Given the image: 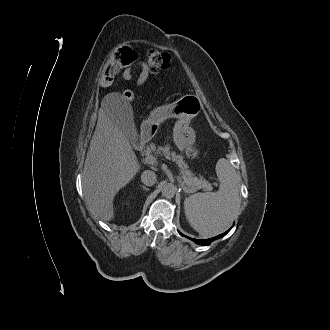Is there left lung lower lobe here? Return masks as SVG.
<instances>
[{
    "mask_svg": "<svg viewBox=\"0 0 330 330\" xmlns=\"http://www.w3.org/2000/svg\"><path fill=\"white\" fill-rule=\"evenodd\" d=\"M233 227V226H232ZM232 227L229 229V230H227L226 232H224V233H222V234H220V235H218V236H216V237H213V238H210V239H206V240H196V239H193V238H189V237H187V238H189V239H191L192 241H194L195 243H197V244H200V245H202V246H208L211 242H213L214 240H216V239H218V238H221V237H223V236H225L231 229H232ZM179 234L180 235H182V236H184L183 234H181L180 232H179ZM186 237V236H185Z\"/></svg>",
    "mask_w": 330,
    "mask_h": 330,
    "instance_id": "0a47b994",
    "label": "left lung lower lobe"
}]
</instances>
